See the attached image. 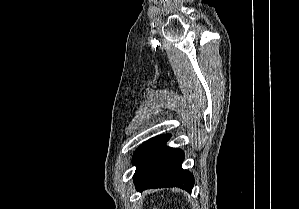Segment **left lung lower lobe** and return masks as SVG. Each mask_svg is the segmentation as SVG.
<instances>
[{
  "instance_id": "left-lung-lower-lobe-1",
  "label": "left lung lower lobe",
  "mask_w": 299,
  "mask_h": 209,
  "mask_svg": "<svg viewBox=\"0 0 299 209\" xmlns=\"http://www.w3.org/2000/svg\"><path fill=\"white\" fill-rule=\"evenodd\" d=\"M170 135L156 136L140 145L133 155L136 171L133 176L138 191L145 188L179 187L188 192L194 177L182 169L184 152L165 146Z\"/></svg>"
}]
</instances>
